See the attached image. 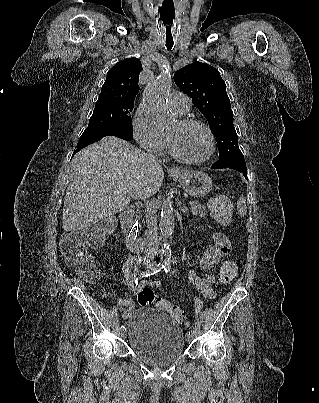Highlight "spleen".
Segmentation results:
<instances>
[{"mask_svg": "<svg viewBox=\"0 0 319 403\" xmlns=\"http://www.w3.org/2000/svg\"><path fill=\"white\" fill-rule=\"evenodd\" d=\"M237 210L240 216H246L247 214L246 198L243 195H241L237 201Z\"/></svg>", "mask_w": 319, "mask_h": 403, "instance_id": "1", "label": "spleen"}]
</instances>
